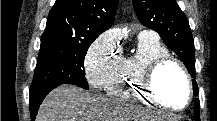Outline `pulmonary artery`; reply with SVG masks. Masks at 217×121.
Listing matches in <instances>:
<instances>
[{"instance_id": "e3ab8cb5", "label": "pulmonary artery", "mask_w": 217, "mask_h": 121, "mask_svg": "<svg viewBox=\"0 0 217 121\" xmlns=\"http://www.w3.org/2000/svg\"><path fill=\"white\" fill-rule=\"evenodd\" d=\"M139 38L158 39V36L150 30H143L139 33Z\"/></svg>"}]
</instances>
